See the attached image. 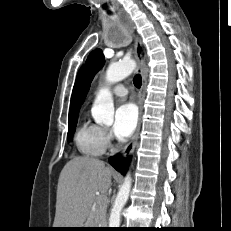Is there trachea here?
<instances>
[{
	"label": "trachea",
	"mask_w": 231,
	"mask_h": 231,
	"mask_svg": "<svg viewBox=\"0 0 231 231\" xmlns=\"http://www.w3.org/2000/svg\"><path fill=\"white\" fill-rule=\"evenodd\" d=\"M133 83L135 85V87L140 88L141 84H142V80H141V76L139 74H137L134 79H133Z\"/></svg>",
	"instance_id": "trachea-1"
}]
</instances>
